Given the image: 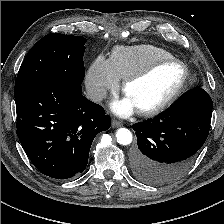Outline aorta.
Wrapping results in <instances>:
<instances>
[{
  "mask_svg": "<svg viewBox=\"0 0 224 224\" xmlns=\"http://www.w3.org/2000/svg\"><path fill=\"white\" fill-rule=\"evenodd\" d=\"M117 142L121 145H129L132 142V133L127 128H120L116 132Z\"/></svg>",
  "mask_w": 224,
  "mask_h": 224,
  "instance_id": "aorta-1",
  "label": "aorta"
}]
</instances>
